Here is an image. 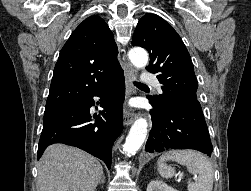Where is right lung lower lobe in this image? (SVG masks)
I'll return each instance as SVG.
<instances>
[{"label":"right lung lower lobe","mask_w":251,"mask_h":191,"mask_svg":"<svg viewBox=\"0 0 251 191\" xmlns=\"http://www.w3.org/2000/svg\"><path fill=\"white\" fill-rule=\"evenodd\" d=\"M125 95L124 74L110 84L103 86L80 102L44 115L43 130L38 144V159L53 143L78 147L103 160L111 166L112 145L123 128L121 105ZM101 97V116L94 115L90 107L95 104L93 97Z\"/></svg>","instance_id":"obj_1"}]
</instances>
